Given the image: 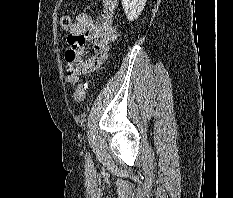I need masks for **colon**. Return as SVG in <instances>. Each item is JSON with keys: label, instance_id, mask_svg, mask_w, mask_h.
Instances as JSON below:
<instances>
[{"label": "colon", "instance_id": "obj_1", "mask_svg": "<svg viewBox=\"0 0 233 198\" xmlns=\"http://www.w3.org/2000/svg\"><path fill=\"white\" fill-rule=\"evenodd\" d=\"M73 22L69 16H62L60 19V26L62 29L68 31L72 26ZM67 70L69 73L73 74L77 71V65L75 63V56L73 53L67 54ZM86 85L84 83H79L74 92V99L76 102L80 103L85 99L86 95Z\"/></svg>", "mask_w": 233, "mask_h": 198}]
</instances>
